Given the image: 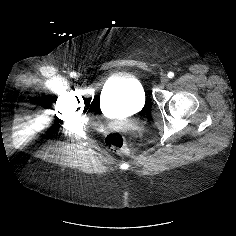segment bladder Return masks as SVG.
Here are the masks:
<instances>
[{
  "label": "bladder",
  "mask_w": 236,
  "mask_h": 236,
  "mask_svg": "<svg viewBox=\"0 0 236 236\" xmlns=\"http://www.w3.org/2000/svg\"><path fill=\"white\" fill-rule=\"evenodd\" d=\"M145 92L140 80L131 74L110 77L101 88V105L110 114L114 107L126 112L140 111L145 105Z\"/></svg>",
  "instance_id": "bladder-1"
}]
</instances>
